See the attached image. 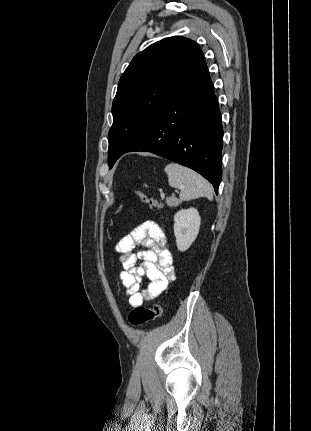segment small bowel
<instances>
[{
  "label": "small bowel",
  "instance_id": "c3829d8e",
  "mask_svg": "<svg viewBox=\"0 0 311 431\" xmlns=\"http://www.w3.org/2000/svg\"><path fill=\"white\" fill-rule=\"evenodd\" d=\"M137 246L146 249L134 253ZM115 250L123 268L119 278L132 307L141 306L144 301L159 296L175 278L166 236L152 220L144 221L124 236L116 244ZM143 277L150 280L146 289L140 288Z\"/></svg>",
  "mask_w": 311,
  "mask_h": 431
}]
</instances>
